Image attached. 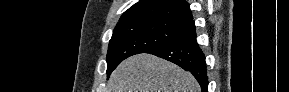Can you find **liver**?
<instances>
[{
  "mask_svg": "<svg viewBox=\"0 0 289 92\" xmlns=\"http://www.w3.org/2000/svg\"><path fill=\"white\" fill-rule=\"evenodd\" d=\"M108 92H200L190 72L151 54L129 57L112 73Z\"/></svg>",
  "mask_w": 289,
  "mask_h": 92,
  "instance_id": "liver-1",
  "label": "liver"
}]
</instances>
